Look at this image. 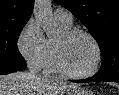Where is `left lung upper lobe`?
<instances>
[{"instance_id": "5c2ea615", "label": "left lung upper lobe", "mask_w": 119, "mask_h": 95, "mask_svg": "<svg viewBox=\"0 0 119 95\" xmlns=\"http://www.w3.org/2000/svg\"><path fill=\"white\" fill-rule=\"evenodd\" d=\"M72 12L93 35L102 54L97 73L119 75V0H55Z\"/></svg>"}]
</instances>
